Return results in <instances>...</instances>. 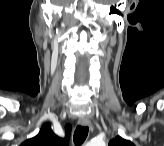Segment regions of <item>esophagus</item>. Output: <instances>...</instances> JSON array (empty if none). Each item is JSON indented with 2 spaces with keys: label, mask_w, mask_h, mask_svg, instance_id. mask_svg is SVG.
I'll return each mask as SVG.
<instances>
[{
  "label": "esophagus",
  "mask_w": 164,
  "mask_h": 146,
  "mask_svg": "<svg viewBox=\"0 0 164 146\" xmlns=\"http://www.w3.org/2000/svg\"><path fill=\"white\" fill-rule=\"evenodd\" d=\"M78 123L81 125V126H85V127H88L91 131L93 130V125L91 123V121L89 119H86V118H80L78 120Z\"/></svg>",
  "instance_id": "obj_1"
}]
</instances>
